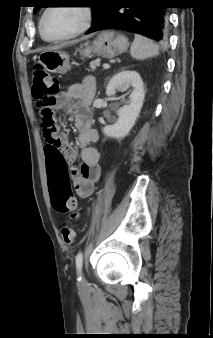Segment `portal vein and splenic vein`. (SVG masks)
Instances as JSON below:
<instances>
[{"label":"portal vein and splenic vein","instance_id":"portal-vein-and-splenic-vein-1","mask_svg":"<svg viewBox=\"0 0 213 338\" xmlns=\"http://www.w3.org/2000/svg\"><path fill=\"white\" fill-rule=\"evenodd\" d=\"M103 68H104V69H108V68H110V65L107 64V63H104V64H103Z\"/></svg>","mask_w":213,"mask_h":338}]
</instances>
